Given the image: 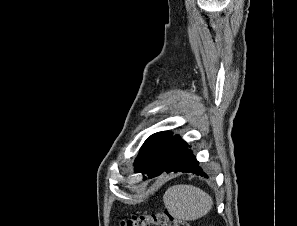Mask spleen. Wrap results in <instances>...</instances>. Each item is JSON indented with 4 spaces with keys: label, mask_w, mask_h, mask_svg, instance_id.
Wrapping results in <instances>:
<instances>
[{
    "label": "spleen",
    "mask_w": 297,
    "mask_h": 226,
    "mask_svg": "<svg viewBox=\"0 0 297 226\" xmlns=\"http://www.w3.org/2000/svg\"><path fill=\"white\" fill-rule=\"evenodd\" d=\"M164 205L176 219L194 221L206 215L213 206L212 197L199 187L178 184L169 187L163 195Z\"/></svg>",
    "instance_id": "spleen-1"
}]
</instances>
